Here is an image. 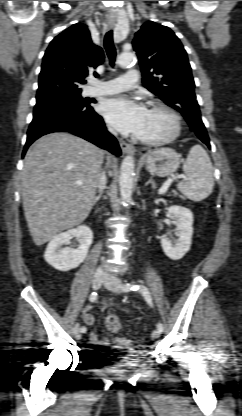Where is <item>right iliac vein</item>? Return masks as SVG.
I'll return each mask as SVG.
<instances>
[{"instance_id":"63e3f726","label":"right iliac vein","mask_w":242,"mask_h":416,"mask_svg":"<svg viewBox=\"0 0 242 416\" xmlns=\"http://www.w3.org/2000/svg\"><path fill=\"white\" fill-rule=\"evenodd\" d=\"M104 280V274L101 270H97L93 277H92V287L94 290L99 289V287L101 286L102 282ZM74 336L76 339H81L82 337V332L80 329L79 324H76L74 327Z\"/></svg>"}]
</instances>
